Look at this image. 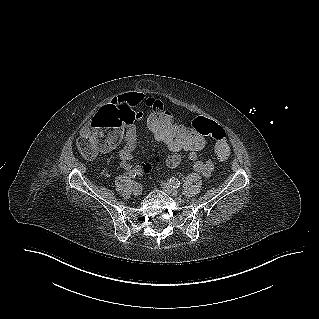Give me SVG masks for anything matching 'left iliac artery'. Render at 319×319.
<instances>
[{"instance_id":"1","label":"left iliac artery","mask_w":319,"mask_h":319,"mask_svg":"<svg viewBox=\"0 0 319 319\" xmlns=\"http://www.w3.org/2000/svg\"><path fill=\"white\" fill-rule=\"evenodd\" d=\"M169 182L175 188H178L181 185L180 181L175 177L170 178Z\"/></svg>"}]
</instances>
